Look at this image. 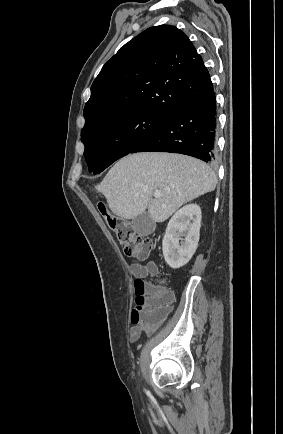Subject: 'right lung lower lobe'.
Segmentation results:
<instances>
[{"mask_svg":"<svg viewBox=\"0 0 283 434\" xmlns=\"http://www.w3.org/2000/svg\"><path fill=\"white\" fill-rule=\"evenodd\" d=\"M216 130V100L212 90L171 115L130 153L171 152L213 162Z\"/></svg>","mask_w":283,"mask_h":434,"instance_id":"obj_1","label":"right lung lower lobe"}]
</instances>
